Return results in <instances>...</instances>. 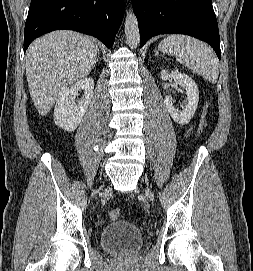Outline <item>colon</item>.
I'll return each instance as SVG.
<instances>
[{
    "instance_id": "colon-1",
    "label": "colon",
    "mask_w": 253,
    "mask_h": 271,
    "mask_svg": "<svg viewBox=\"0 0 253 271\" xmlns=\"http://www.w3.org/2000/svg\"><path fill=\"white\" fill-rule=\"evenodd\" d=\"M206 118H207V107L204 110L203 118H202V121H201V124H200V127H199V133H202L204 128H205ZM121 216H122V212H121L120 209H113V210H111L109 212V217L112 220H118V219L121 218Z\"/></svg>"
}]
</instances>
